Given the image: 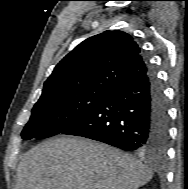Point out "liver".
Here are the masks:
<instances>
[{
	"label": "liver",
	"instance_id": "obj_1",
	"mask_svg": "<svg viewBox=\"0 0 188 189\" xmlns=\"http://www.w3.org/2000/svg\"><path fill=\"white\" fill-rule=\"evenodd\" d=\"M152 171L106 144L62 136L26 152L14 189H138Z\"/></svg>",
	"mask_w": 188,
	"mask_h": 189
}]
</instances>
